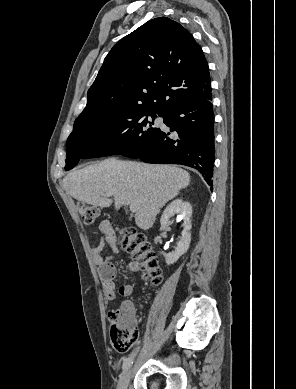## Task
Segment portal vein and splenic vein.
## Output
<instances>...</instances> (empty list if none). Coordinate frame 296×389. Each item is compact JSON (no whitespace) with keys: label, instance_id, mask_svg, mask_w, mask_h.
Returning a JSON list of instances; mask_svg holds the SVG:
<instances>
[{"label":"portal vein and splenic vein","instance_id":"18ae733b","mask_svg":"<svg viewBox=\"0 0 296 389\" xmlns=\"http://www.w3.org/2000/svg\"><path fill=\"white\" fill-rule=\"evenodd\" d=\"M105 196L109 197L110 194H107V195H105ZM130 211H131L132 213H135V212H136V207H135L134 205H130Z\"/></svg>","mask_w":296,"mask_h":389}]
</instances>
